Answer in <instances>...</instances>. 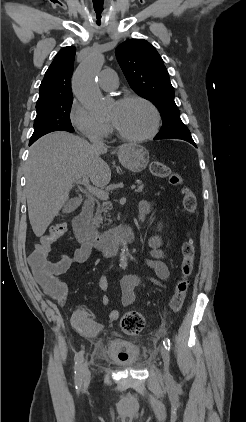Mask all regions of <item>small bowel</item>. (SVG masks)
<instances>
[{
	"mask_svg": "<svg viewBox=\"0 0 246 422\" xmlns=\"http://www.w3.org/2000/svg\"><path fill=\"white\" fill-rule=\"evenodd\" d=\"M151 203L143 201L140 204L142 216L147 215L151 211ZM160 225H158V228ZM162 245L161 238L157 235L150 239L149 246L151 248V257L147 259V264L154 270L157 278H149L141 275H129L125 277L121 283V302L123 306L132 305L136 296L134 288L146 283L161 285L169 278V270L163 261L165 254L160 249ZM91 254V248L85 245L77 248L72 255L60 254L55 261H50L48 274L45 278H37L39 286L44 293L50 298L64 304L68 296V287L65 282L58 276L64 274L74 263H84ZM111 268H108L99 278V287L106 292L108 289L107 274ZM104 304H108L109 298L104 295L102 298ZM119 318V312L112 310L109 313V320L116 321ZM72 324L75 329L85 337L95 336L102 328L101 323L96 319L95 315L85 308L77 309L72 315Z\"/></svg>",
	"mask_w": 246,
	"mask_h": 422,
	"instance_id": "c3829d8e",
	"label": "small bowel"
}]
</instances>
